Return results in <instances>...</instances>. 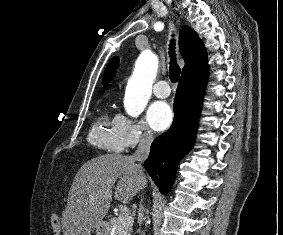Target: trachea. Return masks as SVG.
<instances>
[{
	"label": "trachea",
	"instance_id": "3493384b",
	"mask_svg": "<svg viewBox=\"0 0 283 235\" xmlns=\"http://www.w3.org/2000/svg\"><path fill=\"white\" fill-rule=\"evenodd\" d=\"M174 46H175V42H174V39H172L170 42V47H169V55L171 57L170 68H169V78L171 82L173 83L178 81L180 72H181L177 64V61H176Z\"/></svg>",
	"mask_w": 283,
	"mask_h": 235
}]
</instances>
